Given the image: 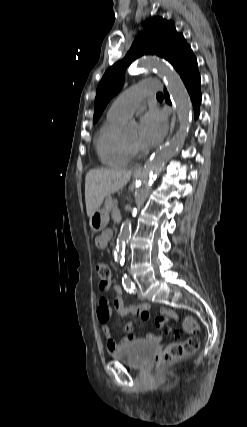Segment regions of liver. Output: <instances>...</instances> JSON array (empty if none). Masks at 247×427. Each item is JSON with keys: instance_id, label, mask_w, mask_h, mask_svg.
<instances>
[{"instance_id": "liver-1", "label": "liver", "mask_w": 247, "mask_h": 427, "mask_svg": "<svg viewBox=\"0 0 247 427\" xmlns=\"http://www.w3.org/2000/svg\"><path fill=\"white\" fill-rule=\"evenodd\" d=\"M132 172L124 169L96 168L87 172L85 178V202L88 217H91L103 203L104 198L123 188Z\"/></svg>"}]
</instances>
